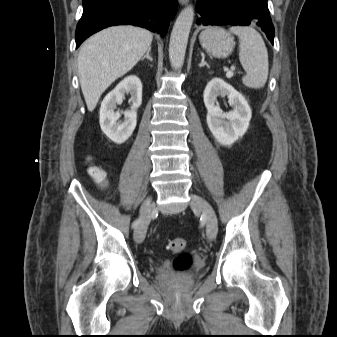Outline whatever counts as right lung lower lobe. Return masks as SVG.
Returning a JSON list of instances; mask_svg holds the SVG:
<instances>
[{
  "mask_svg": "<svg viewBox=\"0 0 337 337\" xmlns=\"http://www.w3.org/2000/svg\"><path fill=\"white\" fill-rule=\"evenodd\" d=\"M176 10L177 0H83L76 48L90 35L114 25L140 26L164 37Z\"/></svg>",
  "mask_w": 337,
  "mask_h": 337,
  "instance_id": "98d812e1",
  "label": "right lung lower lobe"
}]
</instances>
